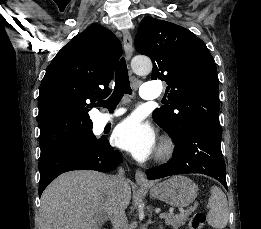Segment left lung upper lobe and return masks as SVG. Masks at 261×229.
Segmentation results:
<instances>
[{"label": "left lung upper lobe", "instance_id": "obj_1", "mask_svg": "<svg viewBox=\"0 0 261 229\" xmlns=\"http://www.w3.org/2000/svg\"><path fill=\"white\" fill-rule=\"evenodd\" d=\"M135 48L153 62L151 79L166 81L167 104L153 119L173 140L195 123L220 128L219 85L213 57L205 43L176 24L146 17L139 25Z\"/></svg>", "mask_w": 261, "mask_h": 229}]
</instances>
